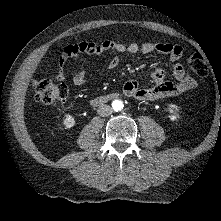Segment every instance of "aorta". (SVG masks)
<instances>
[{
    "instance_id": "1",
    "label": "aorta",
    "mask_w": 221,
    "mask_h": 221,
    "mask_svg": "<svg viewBox=\"0 0 221 221\" xmlns=\"http://www.w3.org/2000/svg\"><path fill=\"white\" fill-rule=\"evenodd\" d=\"M113 109L116 111H120L123 109L124 105L120 100H114L112 103Z\"/></svg>"
}]
</instances>
